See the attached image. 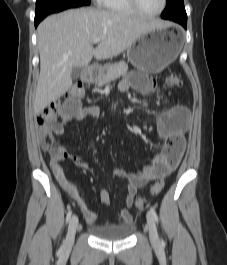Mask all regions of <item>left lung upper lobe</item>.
<instances>
[{
  "instance_id": "left-lung-upper-lobe-1",
  "label": "left lung upper lobe",
  "mask_w": 227,
  "mask_h": 265,
  "mask_svg": "<svg viewBox=\"0 0 227 265\" xmlns=\"http://www.w3.org/2000/svg\"><path fill=\"white\" fill-rule=\"evenodd\" d=\"M161 17L169 20H186L187 14L184 8L183 0H167L166 8Z\"/></svg>"
}]
</instances>
